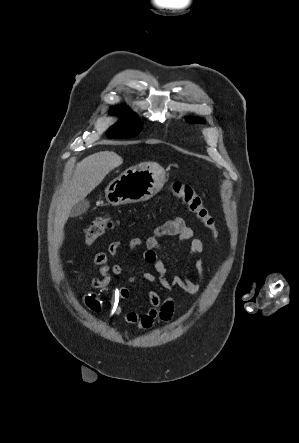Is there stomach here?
Wrapping results in <instances>:
<instances>
[{"label": "stomach", "instance_id": "1", "mask_svg": "<svg viewBox=\"0 0 299 443\" xmlns=\"http://www.w3.org/2000/svg\"><path fill=\"white\" fill-rule=\"evenodd\" d=\"M166 181V173L158 164H139L111 181L105 189V196L115 206L143 202L157 194Z\"/></svg>", "mask_w": 299, "mask_h": 443}]
</instances>
